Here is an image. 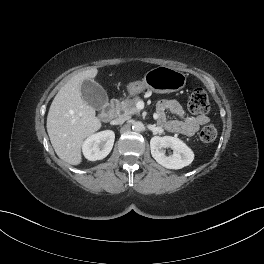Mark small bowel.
Segmentation results:
<instances>
[{
  "label": "small bowel",
  "instance_id": "obj_1",
  "mask_svg": "<svg viewBox=\"0 0 264 264\" xmlns=\"http://www.w3.org/2000/svg\"><path fill=\"white\" fill-rule=\"evenodd\" d=\"M167 112L175 115L177 119L167 118ZM156 118L167 131L186 136H193L201 126L209 122V117L206 115L185 116L182 106L173 99H164L158 103Z\"/></svg>",
  "mask_w": 264,
  "mask_h": 264
}]
</instances>
